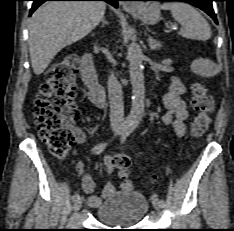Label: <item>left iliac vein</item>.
Masks as SVG:
<instances>
[{"label":"left iliac vein","instance_id":"left-iliac-vein-1","mask_svg":"<svg viewBox=\"0 0 234 231\" xmlns=\"http://www.w3.org/2000/svg\"><path fill=\"white\" fill-rule=\"evenodd\" d=\"M152 203H153V206L156 210H160L161 206L159 204V199H158V196L157 195H153L152 197Z\"/></svg>","mask_w":234,"mask_h":231}]
</instances>
